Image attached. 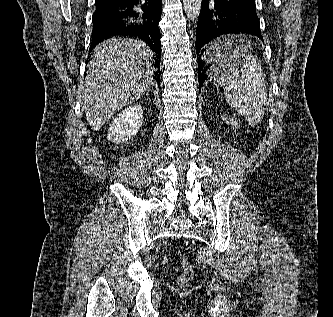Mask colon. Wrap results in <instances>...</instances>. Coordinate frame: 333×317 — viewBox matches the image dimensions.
<instances>
[{"label":"colon","mask_w":333,"mask_h":317,"mask_svg":"<svg viewBox=\"0 0 333 317\" xmlns=\"http://www.w3.org/2000/svg\"><path fill=\"white\" fill-rule=\"evenodd\" d=\"M192 268L191 265L189 264V262L187 260H183L182 262V271L181 274L179 276V283L181 285L186 284L187 282H189L192 278Z\"/></svg>","instance_id":"1"}]
</instances>
